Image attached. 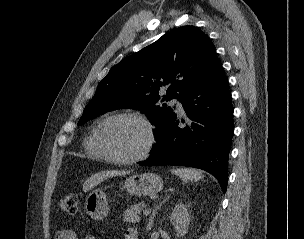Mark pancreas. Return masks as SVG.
Returning <instances> with one entry per match:
<instances>
[{
  "label": "pancreas",
  "mask_w": 304,
  "mask_h": 239,
  "mask_svg": "<svg viewBox=\"0 0 304 239\" xmlns=\"http://www.w3.org/2000/svg\"><path fill=\"white\" fill-rule=\"evenodd\" d=\"M146 207L147 205H145L144 203H138L132 205L124 212V222H128V223L138 222L140 219L139 215L141 214V211Z\"/></svg>",
  "instance_id": "1"
}]
</instances>
